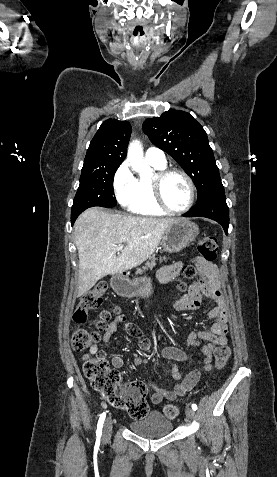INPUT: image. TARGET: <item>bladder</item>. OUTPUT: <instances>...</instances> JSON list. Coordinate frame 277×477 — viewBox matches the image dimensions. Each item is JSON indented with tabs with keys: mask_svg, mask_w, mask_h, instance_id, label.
<instances>
[{
	"mask_svg": "<svg viewBox=\"0 0 277 477\" xmlns=\"http://www.w3.org/2000/svg\"><path fill=\"white\" fill-rule=\"evenodd\" d=\"M173 427V422L159 412H151L142 419L129 423L132 432L147 438L167 435L173 430Z\"/></svg>",
	"mask_w": 277,
	"mask_h": 477,
	"instance_id": "31cf9c89",
	"label": "bladder"
}]
</instances>
